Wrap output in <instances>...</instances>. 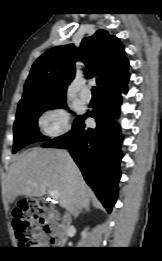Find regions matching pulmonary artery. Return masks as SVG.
<instances>
[{"mask_svg":"<svg viewBox=\"0 0 162 261\" xmlns=\"http://www.w3.org/2000/svg\"><path fill=\"white\" fill-rule=\"evenodd\" d=\"M79 96L85 102H89L92 99V93L87 88L82 89Z\"/></svg>","mask_w":162,"mask_h":261,"instance_id":"obj_1","label":"pulmonary artery"}]
</instances>
